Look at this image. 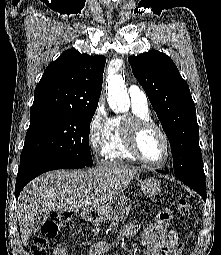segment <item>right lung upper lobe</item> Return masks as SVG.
I'll use <instances>...</instances> for the list:
<instances>
[{"label":"right lung upper lobe","mask_w":221,"mask_h":255,"mask_svg":"<svg viewBox=\"0 0 221 255\" xmlns=\"http://www.w3.org/2000/svg\"><path fill=\"white\" fill-rule=\"evenodd\" d=\"M106 58L64 51L51 62L37 84L30 113L96 110Z\"/></svg>","instance_id":"cb5924a9"}]
</instances>
